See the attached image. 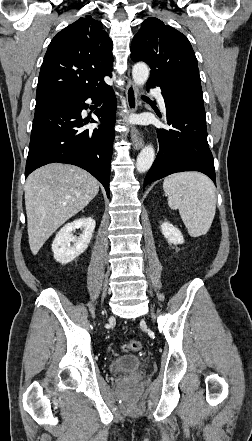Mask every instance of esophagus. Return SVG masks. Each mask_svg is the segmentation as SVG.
I'll return each instance as SVG.
<instances>
[{"mask_svg":"<svg viewBox=\"0 0 252 441\" xmlns=\"http://www.w3.org/2000/svg\"><path fill=\"white\" fill-rule=\"evenodd\" d=\"M125 95H126V101L129 112L130 113L136 112L139 106L138 89L132 80H129L128 84L126 85ZM131 141L134 149L136 150L141 149L144 143L141 132L135 126H133L131 130Z\"/></svg>","mask_w":252,"mask_h":441,"instance_id":"esophagus-1","label":"esophagus"}]
</instances>
